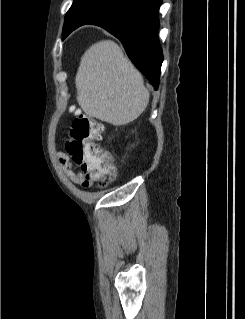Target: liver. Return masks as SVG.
Masks as SVG:
<instances>
[{"mask_svg": "<svg viewBox=\"0 0 245 319\" xmlns=\"http://www.w3.org/2000/svg\"><path fill=\"white\" fill-rule=\"evenodd\" d=\"M75 84L83 111L114 126L134 121L149 103L142 75L112 40L99 41L85 51Z\"/></svg>", "mask_w": 245, "mask_h": 319, "instance_id": "1", "label": "liver"}]
</instances>
